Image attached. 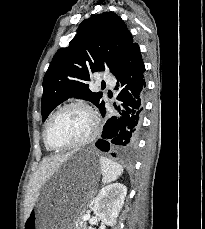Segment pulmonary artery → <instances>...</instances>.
Wrapping results in <instances>:
<instances>
[{
  "instance_id": "1",
  "label": "pulmonary artery",
  "mask_w": 205,
  "mask_h": 229,
  "mask_svg": "<svg viewBox=\"0 0 205 229\" xmlns=\"http://www.w3.org/2000/svg\"><path fill=\"white\" fill-rule=\"evenodd\" d=\"M100 80L104 81L106 84L110 86L115 85V79L111 75L104 74L102 75Z\"/></svg>"
}]
</instances>
